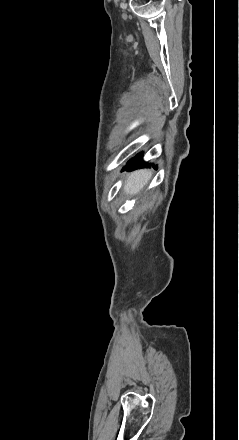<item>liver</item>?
Instances as JSON below:
<instances>
[{"label": "liver", "instance_id": "1", "mask_svg": "<svg viewBox=\"0 0 239 440\" xmlns=\"http://www.w3.org/2000/svg\"><path fill=\"white\" fill-rule=\"evenodd\" d=\"M151 178L152 174L150 170H137V172H132L123 186V192L130 194V196H137V194H140L141 190L147 186Z\"/></svg>", "mask_w": 239, "mask_h": 440}]
</instances>
